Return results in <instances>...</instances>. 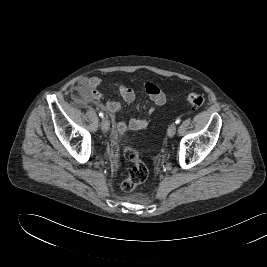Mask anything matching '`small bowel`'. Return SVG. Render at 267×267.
<instances>
[{
    "label": "small bowel",
    "mask_w": 267,
    "mask_h": 267,
    "mask_svg": "<svg viewBox=\"0 0 267 267\" xmlns=\"http://www.w3.org/2000/svg\"><path fill=\"white\" fill-rule=\"evenodd\" d=\"M101 80L98 77H91L88 79H81L78 82L76 91L85 99L94 102L101 109L107 111L115 122V127L119 133H124L127 130H143L148 127V120L141 118H131L128 121L119 120L117 115L122 111L123 107L120 103L105 99L100 93L99 88ZM142 86L153 102L148 110L149 114H153L157 107H161L167 103V97L164 92L154 83L145 81ZM119 93L126 103H132L136 98V91L134 88L127 85L119 86Z\"/></svg>",
    "instance_id": "1"
}]
</instances>
